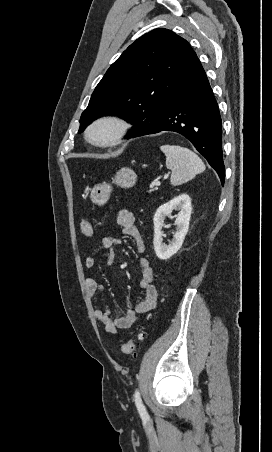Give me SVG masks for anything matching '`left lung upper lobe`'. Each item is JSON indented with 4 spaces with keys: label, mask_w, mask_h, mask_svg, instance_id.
Segmentation results:
<instances>
[{
    "label": "left lung upper lobe",
    "mask_w": 272,
    "mask_h": 452,
    "mask_svg": "<svg viewBox=\"0 0 272 452\" xmlns=\"http://www.w3.org/2000/svg\"><path fill=\"white\" fill-rule=\"evenodd\" d=\"M195 57L189 43L168 29L144 34L110 66L95 88L81 115L79 133L103 114L129 121L131 132L152 126Z\"/></svg>",
    "instance_id": "left-lung-upper-lobe-1"
}]
</instances>
